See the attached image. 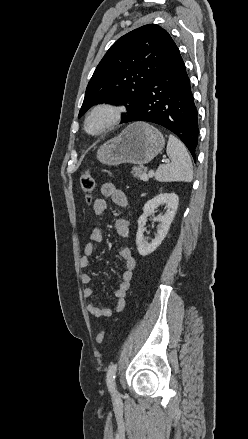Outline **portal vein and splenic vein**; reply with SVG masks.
<instances>
[{"label":"portal vein and splenic vein","instance_id":"1","mask_svg":"<svg viewBox=\"0 0 248 439\" xmlns=\"http://www.w3.org/2000/svg\"><path fill=\"white\" fill-rule=\"evenodd\" d=\"M153 175H154V171H153V170H150L149 173H148V175H147V174H144V175H143L142 180H143V181H147V180H148V177H149V176H153Z\"/></svg>","mask_w":248,"mask_h":439}]
</instances>
